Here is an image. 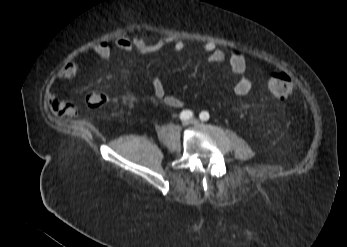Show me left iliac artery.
Returning <instances> with one entry per match:
<instances>
[{"label":"left iliac artery","mask_w":347,"mask_h":247,"mask_svg":"<svg viewBox=\"0 0 347 247\" xmlns=\"http://www.w3.org/2000/svg\"><path fill=\"white\" fill-rule=\"evenodd\" d=\"M199 117L202 121H207L210 118L209 113L206 111L201 112Z\"/></svg>","instance_id":"left-iliac-artery-1"}]
</instances>
